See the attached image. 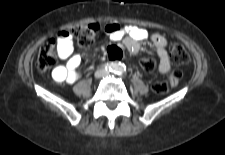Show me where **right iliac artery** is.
Returning <instances> with one entry per match:
<instances>
[{
    "instance_id": "obj_1",
    "label": "right iliac artery",
    "mask_w": 225,
    "mask_h": 155,
    "mask_svg": "<svg viewBox=\"0 0 225 155\" xmlns=\"http://www.w3.org/2000/svg\"><path fill=\"white\" fill-rule=\"evenodd\" d=\"M102 67L108 71L116 72L119 68V65H117L116 63H106Z\"/></svg>"
}]
</instances>
